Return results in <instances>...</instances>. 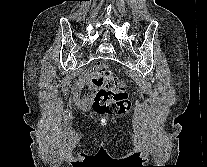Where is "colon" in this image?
<instances>
[{"label": "colon", "mask_w": 207, "mask_h": 167, "mask_svg": "<svg viewBox=\"0 0 207 167\" xmlns=\"http://www.w3.org/2000/svg\"><path fill=\"white\" fill-rule=\"evenodd\" d=\"M92 82L100 88L93 101V109L97 113L110 112L120 115L129 109L126 82L114 75L105 63L94 66Z\"/></svg>", "instance_id": "5ec220e1"}]
</instances>
